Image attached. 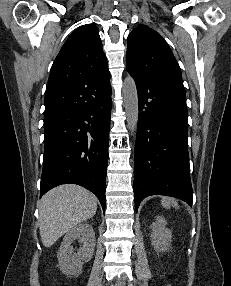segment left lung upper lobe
<instances>
[{"label": "left lung upper lobe", "instance_id": "5c2ea615", "mask_svg": "<svg viewBox=\"0 0 231 286\" xmlns=\"http://www.w3.org/2000/svg\"><path fill=\"white\" fill-rule=\"evenodd\" d=\"M126 68L149 79L183 86L177 61L166 41L148 26H138L129 34Z\"/></svg>", "mask_w": 231, "mask_h": 286}]
</instances>
